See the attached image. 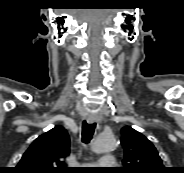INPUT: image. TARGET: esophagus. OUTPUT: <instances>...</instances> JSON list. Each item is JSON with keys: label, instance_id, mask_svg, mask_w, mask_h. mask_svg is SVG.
Instances as JSON below:
<instances>
[{"label": "esophagus", "instance_id": "34e87169", "mask_svg": "<svg viewBox=\"0 0 184 173\" xmlns=\"http://www.w3.org/2000/svg\"><path fill=\"white\" fill-rule=\"evenodd\" d=\"M88 123H94V122H98L101 120L100 115L98 114H90L87 118H86Z\"/></svg>", "mask_w": 184, "mask_h": 173}]
</instances>
